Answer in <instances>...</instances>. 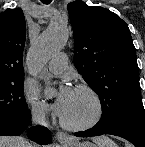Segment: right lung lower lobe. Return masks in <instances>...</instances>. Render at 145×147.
Segmentation results:
<instances>
[{
    "mask_svg": "<svg viewBox=\"0 0 145 147\" xmlns=\"http://www.w3.org/2000/svg\"><path fill=\"white\" fill-rule=\"evenodd\" d=\"M31 121L30 111L17 120L1 122L0 136H17L25 131ZM28 137L39 144L46 145L51 143L50 131L44 127H31L27 131Z\"/></svg>",
    "mask_w": 145,
    "mask_h": 147,
    "instance_id": "obj_1",
    "label": "right lung lower lobe"
}]
</instances>
